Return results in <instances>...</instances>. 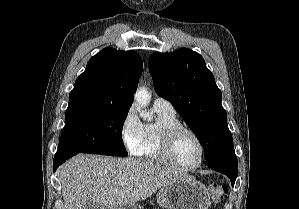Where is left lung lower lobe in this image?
<instances>
[{
  "label": "left lung lower lobe",
  "mask_w": 299,
  "mask_h": 209,
  "mask_svg": "<svg viewBox=\"0 0 299 209\" xmlns=\"http://www.w3.org/2000/svg\"><path fill=\"white\" fill-rule=\"evenodd\" d=\"M213 170L227 175L232 186L238 175V162L234 147L229 148L220 158L210 166Z\"/></svg>",
  "instance_id": "left-lung-lower-lobe-1"
}]
</instances>
